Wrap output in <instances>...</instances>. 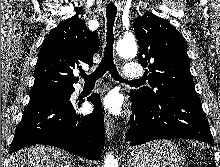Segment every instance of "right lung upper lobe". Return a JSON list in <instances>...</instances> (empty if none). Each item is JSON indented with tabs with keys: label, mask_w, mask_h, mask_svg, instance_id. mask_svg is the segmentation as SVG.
Returning a JSON list of instances; mask_svg holds the SVG:
<instances>
[{
	"label": "right lung upper lobe",
	"mask_w": 220,
	"mask_h": 167,
	"mask_svg": "<svg viewBox=\"0 0 220 167\" xmlns=\"http://www.w3.org/2000/svg\"><path fill=\"white\" fill-rule=\"evenodd\" d=\"M99 37L77 15L62 21L44 39L34 71L30 98L74 90L79 78L73 70L81 63L93 65Z\"/></svg>",
	"instance_id": "obj_1"
}]
</instances>
